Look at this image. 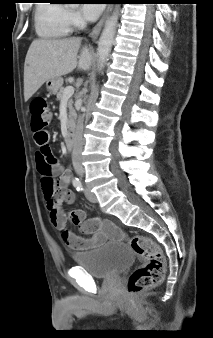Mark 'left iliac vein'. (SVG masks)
I'll list each match as a JSON object with an SVG mask.
<instances>
[{"label": "left iliac vein", "instance_id": "obj_1", "mask_svg": "<svg viewBox=\"0 0 213 338\" xmlns=\"http://www.w3.org/2000/svg\"><path fill=\"white\" fill-rule=\"evenodd\" d=\"M85 195L90 202H93V203L97 202L96 195L93 192H91L90 189L85 188Z\"/></svg>", "mask_w": 213, "mask_h": 338}]
</instances>
